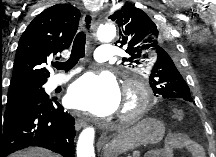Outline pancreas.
<instances>
[{"instance_id":"cf45deb5","label":"pancreas","mask_w":216,"mask_h":157,"mask_svg":"<svg viewBox=\"0 0 216 157\" xmlns=\"http://www.w3.org/2000/svg\"><path fill=\"white\" fill-rule=\"evenodd\" d=\"M138 156V154L137 153H135L134 155H133V157H137Z\"/></svg>"}]
</instances>
